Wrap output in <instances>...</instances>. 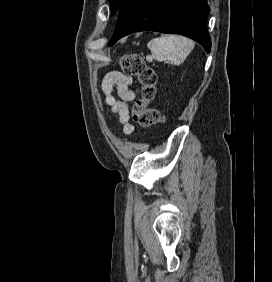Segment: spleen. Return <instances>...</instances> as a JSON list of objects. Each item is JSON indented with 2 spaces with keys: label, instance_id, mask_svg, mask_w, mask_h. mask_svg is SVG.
<instances>
[{
  "label": "spleen",
  "instance_id": "1",
  "mask_svg": "<svg viewBox=\"0 0 272 282\" xmlns=\"http://www.w3.org/2000/svg\"><path fill=\"white\" fill-rule=\"evenodd\" d=\"M154 59H169L181 64L194 48V42L181 36L167 35L152 39L147 44Z\"/></svg>",
  "mask_w": 272,
  "mask_h": 282
}]
</instances>
